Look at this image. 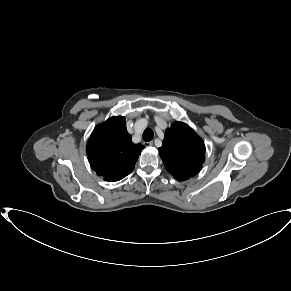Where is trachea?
Instances as JSON below:
<instances>
[{
  "label": "trachea",
  "mask_w": 291,
  "mask_h": 291,
  "mask_svg": "<svg viewBox=\"0 0 291 291\" xmlns=\"http://www.w3.org/2000/svg\"><path fill=\"white\" fill-rule=\"evenodd\" d=\"M154 137V133L150 128L145 129L143 132L142 138L144 141H150Z\"/></svg>",
  "instance_id": "1"
}]
</instances>
